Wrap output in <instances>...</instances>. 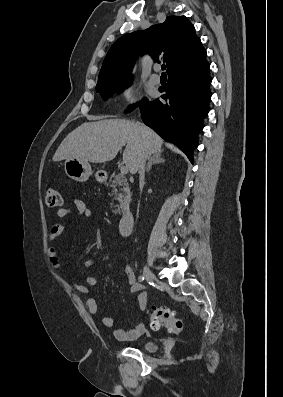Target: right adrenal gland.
I'll return each instance as SVG.
<instances>
[{
	"instance_id": "right-adrenal-gland-1",
	"label": "right adrenal gland",
	"mask_w": 283,
	"mask_h": 397,
	"mask_svg": "<svg viewBox=\"0 0 283 397\" xmlns=\"http://www.w3.org/2000/svg\"><path fill=\"white\" fill-rule=\"evenodd\" d=\"M165 162V160L163 158H161V152H158L156 154H154L148 162L147 168H146V172H149L152 165L157 164V163H163Z\"/></svg>"
}]
</instances>
